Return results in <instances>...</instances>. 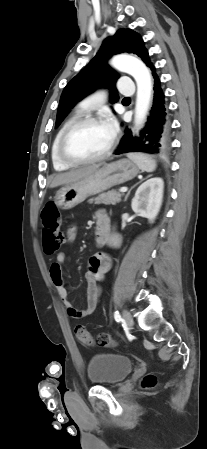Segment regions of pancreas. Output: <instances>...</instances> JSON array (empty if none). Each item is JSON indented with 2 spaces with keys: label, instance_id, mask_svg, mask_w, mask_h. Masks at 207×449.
<instances>
[{
  "label": "pancreas",
  "instance_id": "cf45deb5",
  "mask_svg": "<svg viewBox=\"0 0 207 449\" xmlns=\"http://www.w3.org/2000/svg\"><path fill=\"white\" fill-rule=\"evenodd\" d=\"M123 194L118 191L112 190L106 193L99 194L97 197L90 199L88 202L95 204L115 205L121 202Z\"/></svg>",
  "mask_w": 207,
  "mask_h": 449
}]
</instances>
